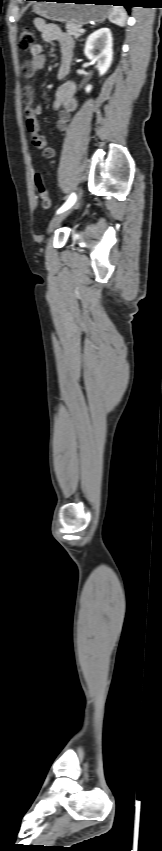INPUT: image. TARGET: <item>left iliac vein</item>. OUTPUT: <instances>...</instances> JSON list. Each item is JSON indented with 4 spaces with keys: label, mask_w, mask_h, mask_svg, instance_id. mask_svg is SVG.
I'll return each mask as SVG.
<instances>
[{
    "label": "left iliac vein",
    "mask_w": 162,
    "mask_h": 851,
    "mask_svg": "<svg viewBox=\"0 0 162 851\" xmlns=\"http://www.w3.org/2000/svg\"><path fill=\"white\" fill-rule=\"evenodd\" d=\"M82 194H83V191H82V189H80V190H79V192H78V197H77V200L75 201V203H74V204H73V205H72L69 209H67L66 211H64L63 213H61V214H60V215H58L57 217H55V218H54V219L50 222V224H49V226H48V230H47V232H48V233L53 232V230H54V229H55V228H56V227H57V226H58V225H59V224H60V223H61V222H62V221H63V220H64V219H65V218H66V217H67V216H68V215H69V214H70V213H71V212L75 209V208H77V207L79 206V204H80V199H81V197H82Z\"/></svg>",
    "instance_id": "obj_1"
}]
</instances>
